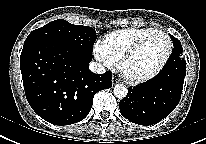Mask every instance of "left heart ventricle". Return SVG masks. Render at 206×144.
<instances>
[{"instance_id":"left-heart-ventricle-1","label":"left heart ventricle","mask_w":206,"mask_h":144,"mask_svg":"<svg viewBox=\"0 0 206 144\" xmlns=\"http://www.w3.org/2000/svg\"><path fill=\"white\" fill-rule=\"evenodd\" d=\"M168 46V41L164 36L151 38L127 61L125 71L135 77L153 72L164 60Z\"/></svg>"}]
</instances>
